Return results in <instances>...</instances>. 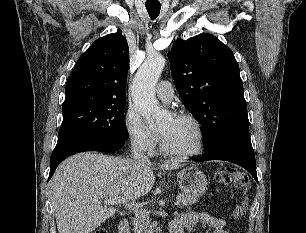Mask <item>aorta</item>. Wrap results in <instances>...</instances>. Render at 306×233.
I'll return each instance as SVG.
<instances>
[{
  "label": "aorta",
  "instance_id": "obj_1",
  "mask_svg": "<svg viewBox=\"0 0 306 233\" xmlns=\"http://www.w3.org/2000/svg\"><path fill=\"white\" fill-rule=\"evenodd\" d=\"M165 63V58L160 54L148 56L137 71L132 85V98L136 109L151 128L159 126L166 116L160 109L154 92Z\"/></svg>",
  "mask_w": 306,
  "mask_h": 233
}]
</instances>
